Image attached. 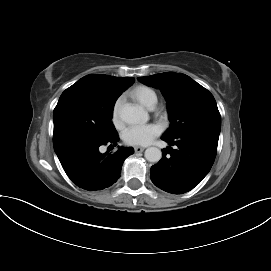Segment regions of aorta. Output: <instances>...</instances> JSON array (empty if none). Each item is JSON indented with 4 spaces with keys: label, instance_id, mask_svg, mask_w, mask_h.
<instances>
[{
    "label": "aorta",
    "instance_id": "obj_1",
    "mask_svg": "<svg viewBox=\"0 0 271 271\" xmlns=\"http://www.w3.org/2000/svg\"><path fill=\"white\" fill-rule=\"evenodd\" d=\"M119 116L128 124L146 122L149 118L148 113L141 106L129 103L120 108ZM144 156L147 161L157 163L162 158V152L157 147H149L145 150Z\"/></svg>",
    "mask_w": 271,
    "mask_h": 271
}]
</instances>
